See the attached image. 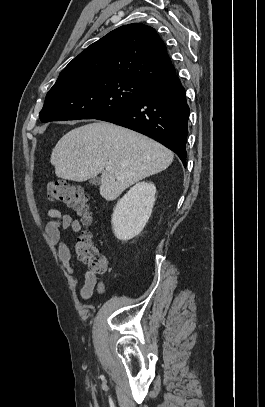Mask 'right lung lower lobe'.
I'll return each mask as SVG.
<instances>
[{"label": "right lung lower lobe", "instance_id": "98d812e1", "mask_svg": "<svg viewBox=\"0 0 265 407\" xmlns=\"http://www.w3.org/2000/svg\"><path fill=\"white\" fill-rule=\"evenodd\" d=\"M189 106L176 73L153 85L135 104L97 118L140 132L175 152L186 167Z\"/></svg>", "mask_w": 265, "mask_h": 407}]
</instances>
